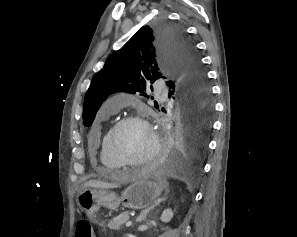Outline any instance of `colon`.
<instances>
[{
    "label": "colon",
    "instance_id": "1",
    "mask_svg": "<svg viewBox=\"0 0 297 237\" xmlns=\"http://www.w3.org/2000/svg\"><path fill=\"white\" fill-rule=\"evenodd\" d=\"M75 237H94L91 225L88 221H78L76 224Z\"/></svg>",
    "mask_w": 297,
    "mask_h": 237
}]
</instances>
